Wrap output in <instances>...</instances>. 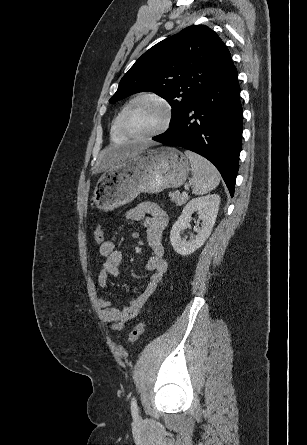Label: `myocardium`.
I'll use <instances>...</instances> for the list:
<instances>
[{
    "label": "myocardium",
    "mask_w": 307,
    "mask_h": 445,
    "mask_svg": "<svg viewBox=\"0 0 307 445\" xmlns=\"http://www.w3.org/2000/svg\"><path fill=\"white\" fill-rule=\"evenodd\" d=\"M143 100H152V101L159 103L164 109L165 118H164V121L161 124V126L158 127L157 129L150 131V132L138 133V132L134 131V129L132 128V126L130 124L129 113H130L131 107L134 104H136L137 102L143 101ZM173 119H174V109H173L171 103L167 99H165L161 95H158L155 93H144V94H141V95L137 96L136 98L132 99L126 106L124 115H123V125H124L126 134L131 138H135V139L155 138V137H158V136L164 134L170 128V126L173 122Z\"/></svg>",
    "instance_id": "1"
}]
</instances>
